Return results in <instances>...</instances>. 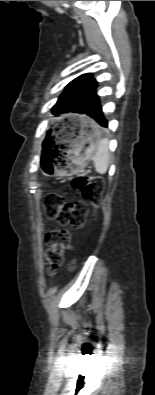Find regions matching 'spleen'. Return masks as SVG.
Listing matches in <instances>:
<instances>
[{
	"label": "spleen",
	"instance_id": "obj_1",
	"mask_svg": "<svg viewBox=\"0 0 155 395\" xmlns=\"http://www.w3.org/2000/svg\"><path fill=\"white\" fill-rule=\"evenodd\" d=\"M109 159V140L104 138L99 141L98 150L93 157L96 171L100 174H105L108 169Z\"/></svg>",
	"mask_w": 155,
	"mask_h": 395
}]
</instances>
